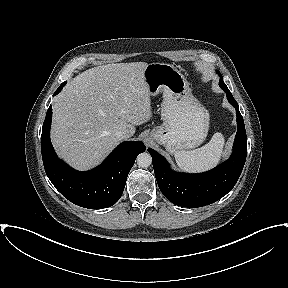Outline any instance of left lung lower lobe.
I'll return each mask as SVG.
<instances>
[{
  "label": "left lung lower lobe",
  "mask_w": 288,
  "mask_h": 288,
  "mask_svg": "<svg viewBox=\"0 0 288 288\" xmlns=\"http://www.w3.org/2000/svg\"><path fill=\"white\" fill-rule=\"evenodd\" d=\"M228 101L236 108L238 129L231 157L216 168L199 174L173 172L165 160L155 150L149 148L155 177L164 196L173 204L197 208L212 204L236 184L246 161L247 136L238 104L229 90H225Z\"/></svg>",
  "instance_id": "obj_1"
}]
</instances>
